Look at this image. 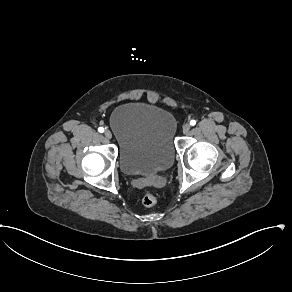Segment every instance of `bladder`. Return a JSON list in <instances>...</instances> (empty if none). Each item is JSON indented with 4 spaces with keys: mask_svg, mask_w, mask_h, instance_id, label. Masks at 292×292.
<instances>
[{
    "mask_svg": "<svg viewBox=\"0 0 292 292\" xmlns=\"http://www.w3.org/2000/svg\"><path fill=\"white\" fill-rule=\"evenodd\" d=\"M118 143V160L127 175L152 174L167 169L176 155V119L156 104L130 101L110 116Z\"/></svg>",
    "mask_w": 292,
    "mask_h": 292,
    "instance_id": "obj_1",
    "label": "bladder"
}]
</instances>
